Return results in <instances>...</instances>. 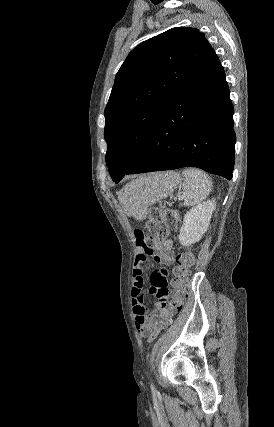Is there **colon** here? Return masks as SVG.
Returning <instances> with one entry per match:
<instances>
[{
    "instance_id": "obj_1",
    "label": "colon",
    "mask_w": 274,
    "mask_h": 427,
    "mask_svg": "<svg viewBox=\"0 0 274 427\" xmlns=\"http://www.w3.org/2000/svg\"><path fill=\"white\" fill-rule=\"evenodd\" d=\"M177 220V213L170 208L153 207L149 210L147 220L141 230L149 249H152L154 245L160 246L164 241H167L168 232L176 225ZM194 262V254L186 251L175 264L174 273L170 276V281H172L170 299L162 311L163 314L151 317V322L154 323V330L149 335L151 345L157 344L161 330L168 327L164 314L182 312L184 301L188 297V275Z\"/></svg>"
}]
</instances>
